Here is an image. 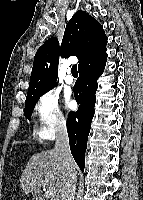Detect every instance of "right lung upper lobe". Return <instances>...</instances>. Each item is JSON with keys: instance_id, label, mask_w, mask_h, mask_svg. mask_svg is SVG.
<instances>
[{"instance_id": "1", "label": "right lung upper lobe", "mask_w": 143, "mask_h": 200, "mask_svg": "<svg viewBox=\"0 0 143 200\" xmlns=\"http://www.w3.org/2000/svg\"><path fill=\"white\" fill-rule=\"evenodd\" d=\"M103 27L85 11H77L65 28L61 46L56 38L48 39L36 52L27 97L57 85L59 56H76L79 68L106 49Z\"/></svg>"}]
</instances>
